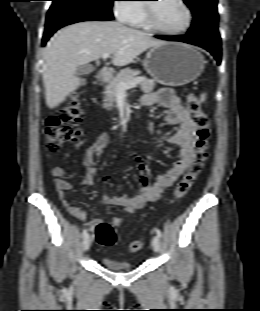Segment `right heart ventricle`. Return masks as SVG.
<instances>
[{
  "label": "right heart ventricle",
  "instance_id": "e07e8e85",
  "mask_svg": "<svg viewBox=\"0 0 260 311\" xmlns=\"http://www.w3.org/2000/svg\"><path fill=\"white\" fill-rule=\"evenodd\" d=\"M136 12L134 13L133 17L131 18L129 24L143 28V29H149L146 20H145V14H144V5L143 4H136Z\"/></svg>",
  "mask_w": 260,
  "mask_h": 311
}]
</instances>
